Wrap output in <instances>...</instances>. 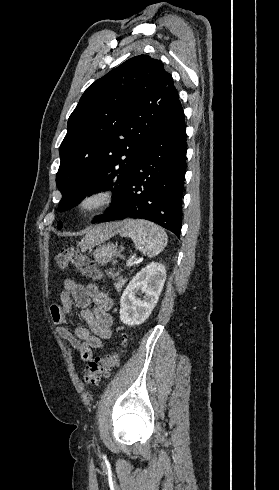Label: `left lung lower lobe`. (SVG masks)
<instances>
[{
  "label": "left lung lower lobe",
  "instance_id": "left-lung-lower-lobe-1",
  "mask_svg": "<svg viewBox=\"0 0 279 490\" xmlns=\"http://www.w3.org/2000/svg\"><path fill=\"white\" fill-rule=\"evenodd\" d=\"M186 152L184 114L179 103L146 140L116 206L101 222L146 219L179 238Z\"/></svg>",
  "mask_w": 279,
  "mask_h": 490
}]
</instances>
